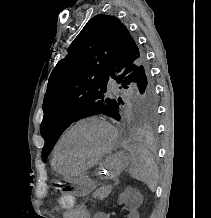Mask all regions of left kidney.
<instances>
[{"label":"left kidney","instance_id":"1","mask_svg":"<svg viewBox=\"0 0 211 218\" xmlns=\"http://www.w3.org/2000/svg\"><path fill=\"white\" fill-rule=\"evenodd\" d=\"M126 193L128 192H123V194H121L120 196L122 207H126V217L127 218H139L137 207H132V198H126ZM135 193H139V192L135 190ZM142 202H143V196H142ZM139 204H142V203H139Z\"/></svg>","mask_w":211,"mask_h":218}]
</instances>
